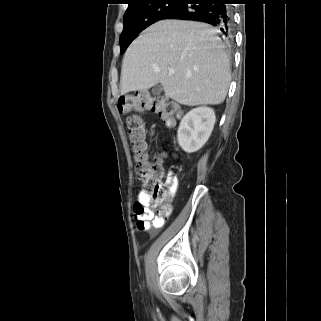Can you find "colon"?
Instances as JSON below:
<instances>
[{
    "instance_id": "colon-1",
    "label": "colon",
    "mask_w": 321,
    "mask_h": 321,
    "mask_svg": "<svg viewBox=\"0 0 321 321\" xmlns=\"http://www.w3.org/2000/svg\"><path fill=\"white\" fill-rule=\"evenodd\" d=\"M118 107L120 112L128 114L127 124L134 152L136 176L143 183L144 190L155 197L157 206L164 197V190L160 185L161 162L158 158L149 159L146 153L145 130L142 119L132 112L151 110L156 112L167 125L171 126L178 115V105L163 96L151 97L146 93H138L121 97L118 101ZM135 210L138 213L146 212V208L139 204L135 205ZM157 213L166 219L171 213V206L162 204L158 207Z\"/></svg>"
}]
</instances>
